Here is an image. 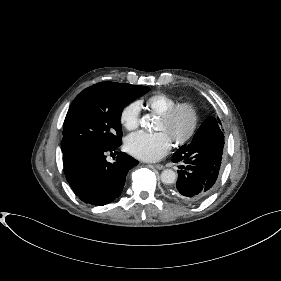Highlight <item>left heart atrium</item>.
<instances>
[{
    "label": "left heart atrium",
    "instance_id": "39dd6f15",
    "mask_svg": "<svg viewBox=\"0 0 281 281\" xmlns=\"http://www.w3.org/2000/svg\"><path fill=\"white\" fill-rule=\"evenodd\" d=\"M171 149V140L164 132L131 134L126 140V150L134 157L144 161H157Z\"/></svg>",
    "mask_w": 281,
    "mask_h": 281
}]
</instances>
